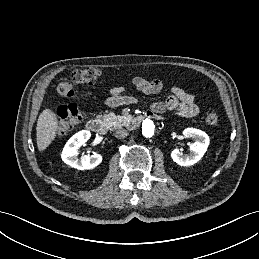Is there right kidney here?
I'll use <instances>...</instances> for the list:
<instances>
[{
	"label": "right kidney",
	"mask_w": 259,
	"mask_h": 259,
	"mask_svg": "<svg viewBox=\"0 0 259 259\" xmlns=\"http://www.w3.org/2000/svg\"><path fill=\"white\" fill-rule=\"evenodd\" d=\"M91 137L90 131L82 130L74 134L63 148L62 160L73 168L78 170L93 169L102 162V156L95 153L94 155H84L78 158V148H80Z\"/></svg>",
	"instance_id": "right-kidney-1"
}]
</instances>
